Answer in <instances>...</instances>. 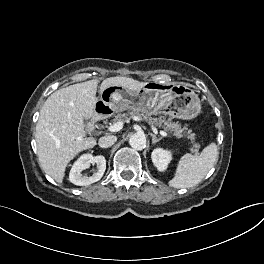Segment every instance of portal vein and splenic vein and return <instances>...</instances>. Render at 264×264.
I'll list each match as a JSON object with an SVG mask.
<instances>
[{"label":"portal vein and splenic vein","mask_w":264,"mask_h":264,"mask_svg":"<svg viewBox=\"0 0 264 264\" xmlns=\"http://www.w3.org/2000/svg\"><path fill=\"white\" fill-rule=\"evenodd\" d=\"M123 128V122H117V123H114L113 125L109 126L108 127V131L110 132H118L120 131L121 129ZM162 136L164 137H168V133L164 132V131H160L159 132Z\"/></svg>","instance_id":"obj_1"}]
</instances>
